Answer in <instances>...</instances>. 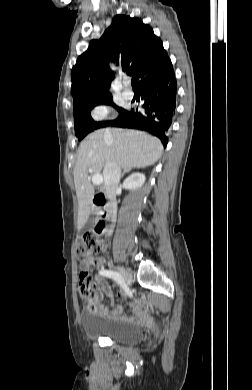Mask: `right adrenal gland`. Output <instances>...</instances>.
<instances>
[{"mask_svg":"<svg viewBox=\"0 0 252 390\" xmlns=\"http://www.w3.org/2000/svg\"><path fill=\"white\" fill-rule=\"evenodd\" d=\"M130 170H131L130 168L124 169V171H123V173H122V177H123L127 172H129Z\"/></svg>","mask_w":252,"mask_h":390,"instance_id":"2a0ac1e0","label":"right adrenal gland"}]
</instances>
